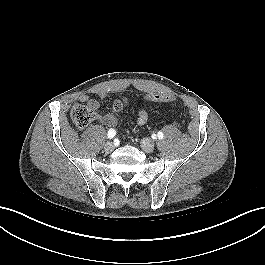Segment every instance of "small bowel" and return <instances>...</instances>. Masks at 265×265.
<instances>
[{
  "mask_svg": "<svg viewBox=\"0 0 265 265\" xmlns=\"http://www.w3.org/2000/svg\"><path fill=\"white\" fill-rule=\"evenodd\" d=\"M148 95H146V99H148ZM160 96H163L164 94H158ZM166 96V95H164ZM79 100L81 102H88L90 104H92L94 107H98V102L95 100V99H90L87 95H80L79 96ZM151 101V100H149ZM154 102H161V101H154ZM124 105H128V101L125 100L124 101ZM99 121L101 124L105 125V126H113L117 123L118 119L116 117L115 114L113 113H108V114H105V115H101L99 116ZM148 121V112L146 109L144 108H141L139 111H138V116H137V123L138 125H144L146 124Z\"/></svg>",
  "mask_w": 265,
  "mask_h": 265,
  "instance_id": "obj_1",
  "label": "small bowel"
}]
</instances>
